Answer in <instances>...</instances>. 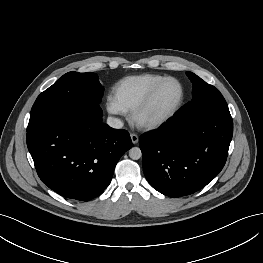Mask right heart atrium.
Here are the masks:
<instances>
[{
    "mask_svg": "<svg viewBox=\"0 0 263 263\" xmlns=\"http://www.w3.org/2000/svg\"><path fill=\"white\" fill-rule=\"evenodd\" d=\"M106 109L110 114L119 115L122 111L115 105V103L110 99L106 102Z\"/></svg>",
    "mask_w": 263,
    "mask_h": 263,
    "instance_id": "obj_1",
    "label": "right heart atrium"
}]
</instances>
